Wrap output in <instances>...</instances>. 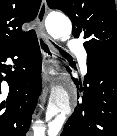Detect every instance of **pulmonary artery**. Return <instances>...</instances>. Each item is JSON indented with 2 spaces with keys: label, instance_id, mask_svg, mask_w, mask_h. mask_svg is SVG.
Listing matches in <instances>:
<instances>
[{
  "label": "pulmonary artery",
  "instance_id": "pulmonary-artery-1",
  "mask_svg": "<svg viewBox=\"0 0 117 136\" xmlns=\"http://www.w3.org/2000/svg\"><path fill=\"white\" fill-rule=\"evenodd\" d=\"M68 46L70 50L74 51L78 55L81 70L83 73H86L87 71V52L81 46V44L75 40H71Z\"/></svg>",
  "mask_w": 117,
  "mask_h": 136
}]
</instances>
